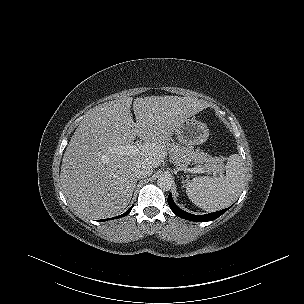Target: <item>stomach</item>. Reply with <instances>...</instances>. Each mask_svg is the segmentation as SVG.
<instances>
[{
  "label": "stomach",
  "instance_id": "0dacf381",
  "mask_svg": "<svg viewBox=\"0 0 304 304\" xmlns=\"http://www.w3.org/2000/svg\"><path fill=\"white\" fill-rule=\"evenodd\" d=\"M177 138L185 145L203 144L209 137L207 125L195 118H187L175 131Z\"/></svg>",
  "mask_w": 304,
  "mask_h": 304
}]
</instances>
